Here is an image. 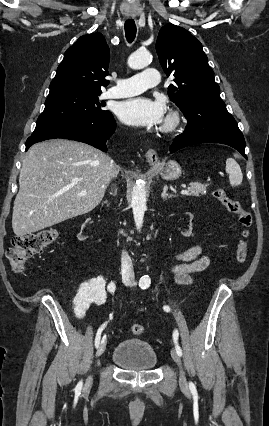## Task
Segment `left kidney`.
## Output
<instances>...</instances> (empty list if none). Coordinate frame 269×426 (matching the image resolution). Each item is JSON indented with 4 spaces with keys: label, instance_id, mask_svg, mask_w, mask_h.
I'll return each mask as SVG.
<instances>
[{
    "label": "left kidney",
    "instance_id": "left-kidney-1",
    "mask_svg": "<svg viewBox=\"0 0 269 426\" xmlns=\"http://www.w3.org/2000/svg\"><path fill=\"white\" fill-rule=\"evenodd\" d=\"M188 215H189V220H188L189 225H188V228H184L181 231V234L183 236H185V237H189L192 234V219H193V215L190 214V213Z\"/></svg>",
    "mask_w": 269,
    "mask_h": 426
}]
</instances>
